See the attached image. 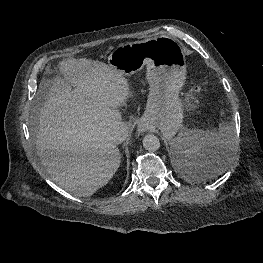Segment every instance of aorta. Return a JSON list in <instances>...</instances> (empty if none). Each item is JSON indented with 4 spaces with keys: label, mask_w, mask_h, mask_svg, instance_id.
<instances>
[{
    "label": "aorta",
    "mask_w": 263,
    "mask_h": 263,
    "mask_svg": "<svg viewBox=\"0 0 263 263\" xmlns=\"http://www.w3.org/2000/svg\"><path fill=\"white\" fill-rule=\"evenodd\" d=\"M143 147L150 152L157 151L160 148V140L153 134H148L143 138Z\"/></svg>",
    "instance_id": "762f6f07"
}]
</instances>
